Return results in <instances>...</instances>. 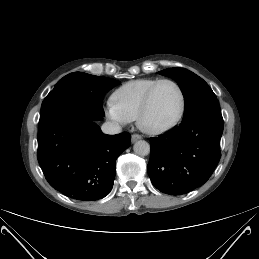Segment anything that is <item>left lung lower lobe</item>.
<instances>
[{
    "label": "left lung lower lobe",
    "instance_id": "0a47b994",
    "mask_svg": "<svg viewBox=\"0 0 259 259\" xmlns=\"http://www.w3.org/2000/svg\"><path fill=\"white\" fill-rule=\"evenodd\" d=\"M221 114H203L150 138L147 171L152 184L169 195H183L202 186L220 157Z\"/></svg>",
    "mask_w": 259,
    "mask_h": 259
}]
</instances>
